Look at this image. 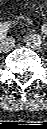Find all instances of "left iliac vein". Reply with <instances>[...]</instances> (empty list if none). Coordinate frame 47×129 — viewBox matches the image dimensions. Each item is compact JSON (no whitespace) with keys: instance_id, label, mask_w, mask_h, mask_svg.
<instances>
[{"instance_id":"4c4485c4","label":"left iliac vein","mask_w":47,"mask_h":129,"mask_svg":"<svg viewBox=\"0 0 47 129\" xmlns=\"http://www.w3.org/2000/svg\"><path fill=\"white\" fill-rule=\"evenodd\" d=\"M25 42L32 49L40 50L42 46L41 39L37 34H31L25 36Z\"/></svg>"}]
</instances>
